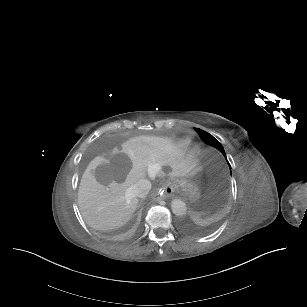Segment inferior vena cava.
<instances>
[{
	"label": "inferior vena cava",
	"instance_id": "inferior-vena-cava-1",
	"mask_svg": "<svg viewBox=\"0 0 307 307\" xmlns=\"http://www.w3.org/2000/svg\"><path fill=\"white\" fill-rule=\"evenodd\" d=\"M132 189L137 197L143 198L149 193L151 189V183L147 179H141L133 186Z\"/></svg>",
	"mask_w": 307,
	"mask_h": 307
}]
</instances>
